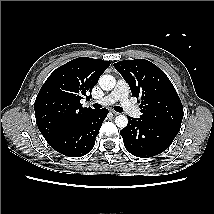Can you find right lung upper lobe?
Instances as JSON below:
<instances>
[{
  "label": "right lung upper lobe",
  "mask_w": 214,
  "mask_h": 214,
  "mask_svg": "<svg viewBox=\"0 0 214 214\" xmlns=\"http://www.w3.org/2000/svg\"><path fill=\"white\" fill-rule=\"evenodd\" d=\"M109 61L79 57L57 68L41 87L35 103L37 126L49 143L68 127L94 111L80 103L91 93Z\"/></svg>",
  "instance_id": "obj_1"
}]
</instances>
